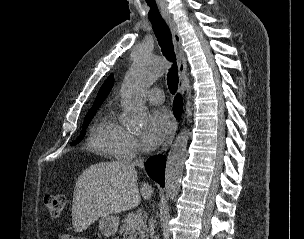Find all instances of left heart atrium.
Instances as JSON below:
<instances>
[{"label": "left heart atrium", "instance_id": "left-heart-atrium-1", "mask_svg": "<svg viewBox=\"0 0 304 239\" xmlns=\"http://www.w3.org/2000/svg\"><path fill=\"white\" fill-rule=\"evenodd\" d=\"M171 127V119L164 108L154 110L144 131V144L148 149L157 147L166 137Z\"/></svg>", "mask_w": 304, "mask_h": 239}]
</instances>
